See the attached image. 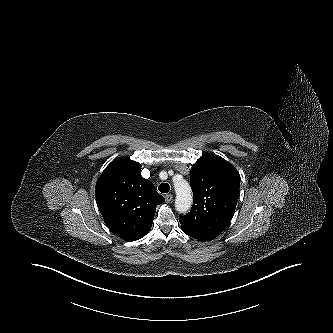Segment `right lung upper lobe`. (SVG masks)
Masks as SVG:
<instances>
[{
	"label": "right lung upper lobe",
	"instance_id": "obj_1",
	"mask_svg": "<svg viewBox=\"0 0 333 333\" xmlns=\"http://www.w3.org/2000/svg\"><path fill=\"white\" fill-rule=\"evenodd\" d=\"M96 202L107 227L126 241L145 236L157 205L165 198L141 176V165L127 158L111 162L96 183Z\"/></svg>",
	"mask_w": 333,
	"mask_h": 333
}]
</instances>
